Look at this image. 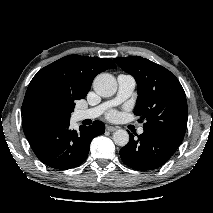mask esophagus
<instances>
[{
	"instance_id": "34e87169",
	"label": "esophagus",
	"mask_w": 213,
	"mask_h": 213,
	"mask_svg": "<svg viewBox=\"0 0 213 213\" xmlns=\"http://www.w3.org/2000/svg\"><path fill=\"white\" fill-rule=\"evenodd\" d=\"M106 130L109 131V132H114L117 130V127H114V126H106Z\"/></svg>"
}]
</instances>
